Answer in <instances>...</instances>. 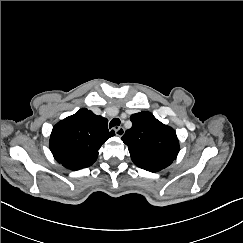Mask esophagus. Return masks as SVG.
I'll return each mask as SVG.
<instances>
[{"instance_id":"obj_1","label":"esophagus","mask_w":243,"mask_h":243,"mask_svg":"<svg viewBox=\"0 0 243 243\" xmlns=\"http://www.w3.org/2000/svg\"><path fill=\"white\" fill-rule=\"evenodd\" d=\"M115 134L119 137H122L125 133V130L123 127H116L114 128Z\"/></svg>"}]
</instances>
